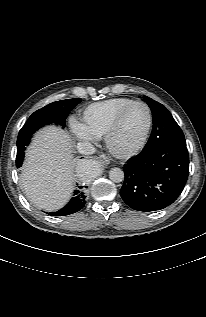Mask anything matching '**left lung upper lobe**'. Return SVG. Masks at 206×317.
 Segmentation results:
<instances>
[{
  "instance_id": "1",
  "label": "left lung upper lobe",
  "mask_w": 206,
  "mask_h": 317,
  "mask_svg": "<svg viewBox=\"0 0 206 317\" xmlns=\"http://www.w3.org/2000/svg\"><path fill=\"white\" fill-rule=\"evenodd\" d=\"M153 114V130L144 149L165 143L186 145L184 134L170 112L159 102L143 96Z\"/></svg>"
}]
</instances>
